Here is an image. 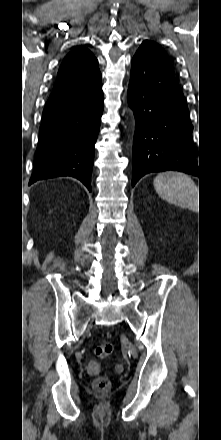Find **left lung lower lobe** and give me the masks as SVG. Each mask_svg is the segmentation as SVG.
I'll return each mask as SVG.
<instances>
[{"label": "left lung lower lobe", "instance_id": "1", "mask_svg": "<svg viewBox=\"0 0 221 440\" xmlns=\"http://www.w3.org/2000/svg\"><path fill=\"white\" fill-rule=\"evenodd\" d=\"M128 103L135 115L132 186L145 174L167 170L201 176L194 157L187 103L174 73L144 52L132 59Z\"/></svg>", "mask_w": 221, "mask_h": 440}]
</instances>
